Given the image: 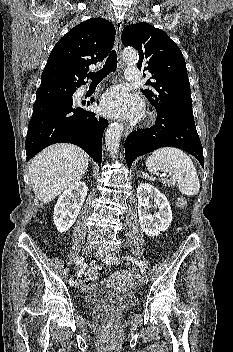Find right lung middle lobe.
I'll use <instances>...</instances> for the list:
<instances>
[{
	"label": "right lung middle lobe",
	"mask_w": 233,
	"mask_h": 352,
	"mask_svg": "<svg viewBox=\"0 0 233 352\" xmlns=\"http://www.w3.org/2000/svg\"><path fill=\"white\" fill-rule=\"evenodd\" d=\"M76 87L53 85L39 87L36 92V102L58 101L72 99Z\"/></svg>",
	"instance_id": "right-lung-middle-lobe-1"
}]
</instances>
